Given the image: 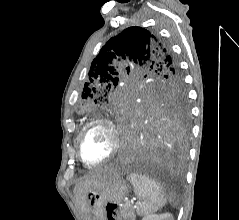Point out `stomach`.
Returning a JSON list of instances; mask_svg holds the SVG:
<instances>
[{
    "mask_svg": "<svg viewBox=\"0 0 239 220\" xmlns=\"http://www.w3.org/2000/svg\"><path fill=\"white\" fill-rule=\"evenodd\" d=\"M129 192L128 184L113 178L106 185L86 194L87 211L91 220H123L122 205H118ZM113 204V205H110Z\"/></svg>",
    "mask_w": 239,
    "mask_h": 220,
    "instance_id": "0dacf381",
    "label": "stomach"
}]
</instances>
